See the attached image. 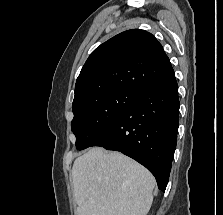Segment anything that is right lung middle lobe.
Returning <instances> with one entry per match:
<instances>
[{
    "instance_id": "dd1d6c3e",
    "label": "right lung middle lobe",
    "mask_w": 223,
    "mask_h": 215,
    "mask_svg": "<svg viewBox=\"0 0 223 215\" xmlns=\"http://www.w3.org/2000/svg\"><path fill=\"white\" fill-rule=\"evenodd\" d=\"M137 97L134 92L116 90L74 107L71 128L76 136V148H88L102 137Z\"/></svg>"
}]
</instances>
